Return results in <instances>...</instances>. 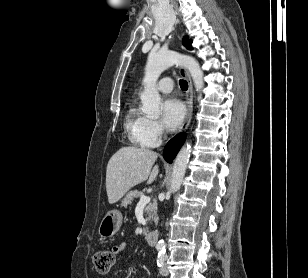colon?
<instances>
[{"label":"colon","instance_id":"1","mask_svg":"<svg viewBox=\"0 0 308 278\" xmlns=\"http://www.w3.org/2000/svg\"><path fill=\"white\" fill-rule=\"evenodd\" d=\"M114 263L115 255L111 250L98 249L93 254V264L99 273H109L113 268Z\"/></svg>","mask_w":308,"mask_h":278}]
</instances>
